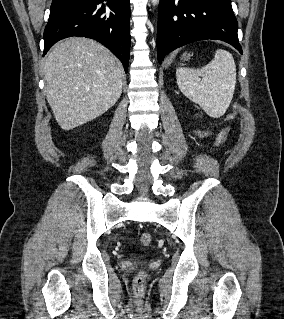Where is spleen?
<instances>
[{
    "mask_svg": "<svg viewBox=\"0 0 284 319\" xmlns=\"http://www.w3.org/2000/svg\"><path fill=\"white\" fill-rule=\"evenodd\" d=\"M181 92L210 117L219 118L228 109L236 84V65L231 53L215 51L214 59L201 69H176Z\"/></svg>",
    "mask_w": 284,
    "mask_h": 319,
    "instance_id": "1",
    "label": "spleen"
}]
</instances>
